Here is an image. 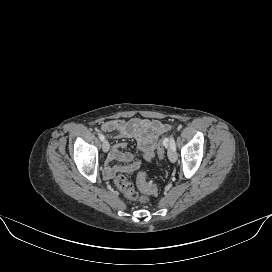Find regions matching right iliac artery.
<instances>
[{
	"mask_svg": "<svg viewBox=\"0 0 272 272\" xmlns=\"http://www.w3.org/2000/svg\"><path fill=\"white\" fill-rule=\"evenodd\" d=\"M99 138H100L101 141H103L105 139V136L102 133H100Z\"/></svg>",
	"mask_w": 272,
	"mask_h": 272,
	"instance_id": "82829eb1",
	"label": "right iliac artery"
}]
</instances>
